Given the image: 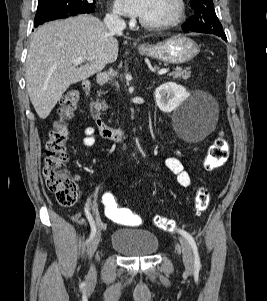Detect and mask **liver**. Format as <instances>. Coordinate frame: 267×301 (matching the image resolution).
<instances>
[{"label":"liver","instance_id":"obj_1","mask_svg":"<svg viewBox=\"0 0 267 301\" xmlns=\"http://www.w3.org/2000/svg\"><path fill=\"white\" fill-rule=\"evenodd\" d=\"M77 57L84 59L80 67L73 64ZM117 57L118 41L97 17L80 15L40 26L30 42L25 73L38 116L47 118L70 85L100 72Z\"/></svg>","mask_w":267,"mask_h":301}]
</instances>
